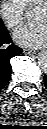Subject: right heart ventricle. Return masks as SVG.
Wrapping results in <instances>:
<instances>
[{"mask_svg": "<svg viewBox=\"0 0 47 129\" xmlns=\"http://www.w3.org/2000/svg\"><path fill=\"white\" fill-rule=\"evenodd\" d=\"M26 8L37 7L44 0H21Z\"/></svg>", "mask_w": 47, "mask_h": 129, "instance_id": "e07e8e85", "label": "right heart ventricle"}]
</instances>
